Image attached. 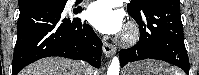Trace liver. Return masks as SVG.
Segmentation results:
<instances>
[{"instance_id": "6515ba94", "label": "liver", "mask_w": 199, "mask_h": 75, "mask_svg": "<svg viewBox=\"0 0 199 75\" xmlns=\"http://www.w3.org/2000/svg\"><path fill=\"white\" fill-rule=\"evenodd\" d=\"M93 72L88 74L85 65L81 62L50 57L32 63L24 68L19 75H93Z\"/></svg>"}]
</instances>
